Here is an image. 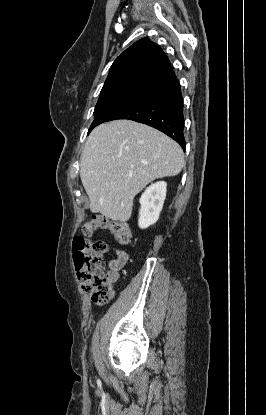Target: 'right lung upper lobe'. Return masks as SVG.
<instances>
[{"instance_id":"right-lung-upper-lobe-1","label":"right lung upper lobe","mask_w":266,"mask_h":415,"mask_svg":"<svg viewBox=\"0 0 266 415\" xmlns=\"http://www.w3.org/2000/svg\"><path fill=\"white\" fill-rule=\"evenodd\" d=\"M176 79L162 49L148 38L126 49L112 64L101 93L113 90H138L150 93Z\"/></svg>"}]
</instances>
